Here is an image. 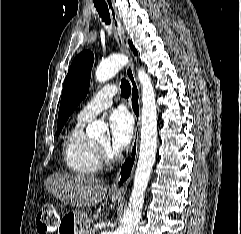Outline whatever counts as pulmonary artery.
Wrapping results in <instances>:
<instances>
[{"instance_id": "pulmonary-artery-1", "label": "pulmonary artery", "mask_w": 241, "mask_h": 234, "mask_svg": "<svg viewBox=\"0 0 241 234\" xmlns=\"http://www.w3.org/2000/svg\"><path fill=\"white\" fill-rule=\"evenodd\" d=\"M117 93L115 85L103 87L78 113L79 121L87 122L95 118L100 112L112 105L113 97Z\"/></svg>"}]
</instances>
